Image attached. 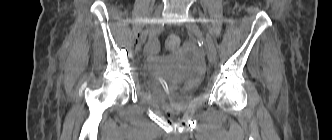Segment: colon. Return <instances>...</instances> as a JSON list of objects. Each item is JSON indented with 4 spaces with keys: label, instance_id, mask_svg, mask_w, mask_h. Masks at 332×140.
<instances>
[{
    "label": "colon",
    "instance_id": "colon-1",
    "mask_svg": "<svg viewBox=\"0 0 332 140\" xmlns=\"http://www.w3.org/2000/svg\"><path fill=\"white\" fill-rule=\"evenodd\" d=\"M180 44V40L177 36H169L163 46L164 51H175Z\"/></svg>",
    "mask_w": 332,
    "mask_h": 140
}]
</instances>
